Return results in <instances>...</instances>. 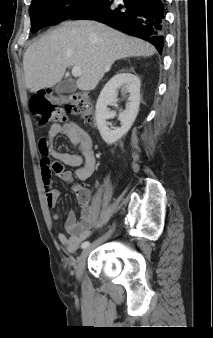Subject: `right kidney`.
I'll return each mask as SVG.
<instances>
[{"label": "right kidney", "mask_w": 213, "mask_h": 338, "mask_svg": "<svg viewBox=\"0 0 213 338\" xmlns=\"http://www.w3.org/2000/svg\"><path fill=\"white\" fill-rule=\"evenodd\" d=\"M129 93L124 111L120 112V128L110 129L107 120L114 118L108 105L118 101V91ZM140 105V79L131 73H118L113 76L102 89L96 104V123L102 139L107 144H113L121 139L132 127Z\"/></svg>", "instance_id": "obj_1"}]
</instances>
